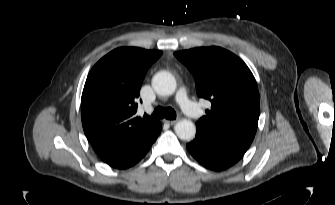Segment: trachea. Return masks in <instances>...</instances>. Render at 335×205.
<instances>
[{"label": "trachea", "mask_w": 335, "mask_h": 205, "mask_svg": "<svg viewBox=\"0 0 335 205\" xmlns=\"http://www.w3.org/2000/svg\"><path fill=\"white\" fill-rule=\"evenodd\" d=\"M153 117L157 118H166L170 120L176 119V112L174 109L168 107V108H163L161 106H158L155 108L154 112L152 113Z\"/></svg>", "instance_id": "3493384b"}]
</instances>
